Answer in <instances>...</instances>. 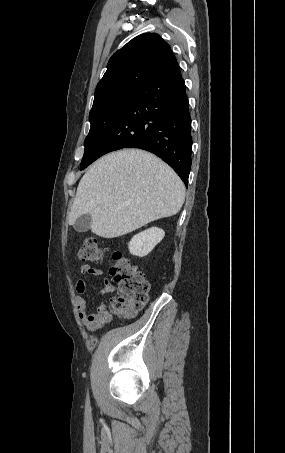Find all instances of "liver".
<instances>
[{"label":"liver","instance_id":"1","mask_svg":"<svg viewBox=\"0 0 285 453\" xmlns=\"http://www.w3.org/2000/svg\"><path fill=\"white\" fill-rule=\"evenodd\" d=\"M185 187L155 155L124 149L98 159L77 187L68 223L89 214L92 233L115 238L179 212Z\"/></svg>","mask_w":285,"mask_h":453}]
</instances>
